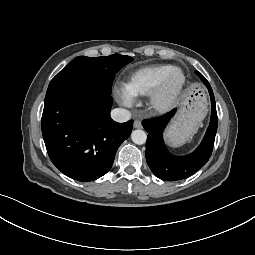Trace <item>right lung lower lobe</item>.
<instances>
[{"label": "right lung lower lobe", "instance_id": "obj_1", "mask_svg": "<svg viewBox=\"0 0 255 255\" xmlns=\"http://www.w3.org/2000/svg\"><path fill=\"white\" fill-rule=\"evenodd\" d=\"M111 92L89 83L49 86L42 134L52 163L68 177L92 181L111 168L116 151L131 134L133 121L110 117Z\"/></svg>", "mask_w": 255, "mask_h": 255}]
</instances>
